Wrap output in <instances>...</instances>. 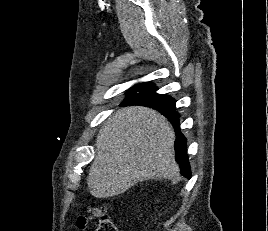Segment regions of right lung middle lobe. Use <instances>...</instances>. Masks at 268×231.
Returning <instances> with one entry per match:
<instances>
[{
  "instance_id": "obj_1",
  "label": "right lung middle lobe",
  "mask_w": 268,
  "mask_h": 231,
  "mask_svg": "<svg viewBox=\"0 0 268 231\" xmlns=\"http://www.w3.org/2000/svg\"><path fill=\"white\" fill-rule=\"evenodd\" d=\"M157 87L152 84H145L135 88H132L129 91V95L137 96L143 99H149L153 101L165 102L175 106V101L169 96L157 94L155 91Z\"/></svg>"
}]
</instances>
